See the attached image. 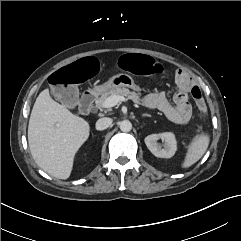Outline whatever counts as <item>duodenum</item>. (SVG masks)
<instances>
[{"label": "duodenum", "instance_id": "410a0bca", "mask_svg": "<svg viewBox=\"0 0 241 241\" xmlns=\"http://www.w3.org/2000/svg\"><path fill=\"white\" fill-rule=\"evenodd\" d=\"M95 100H96L95 90L85 91L80 99L81 112L84 114H89L93 108Z\"/></svg>", "mask_w": 241, "mask_h": 241}]
</instances>
